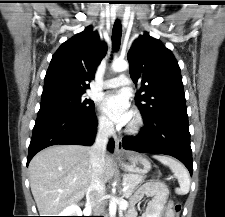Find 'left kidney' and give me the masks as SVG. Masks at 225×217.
Masks as SVG:
<instances>
[{"label":"left kidney","instance_id":"obj_1","mask_svg":"<svg viewBox=\"0 0 225 217\" xmlns=\"http://www.w3.org/2000/svg\"><path fill=\"white\" fill-rule=\"evenodd\" d=\"M146 217H159V213H155V214H152V215H147Z\"/></svg>","mask_w":225,"mask_h":217}]
</instances>
